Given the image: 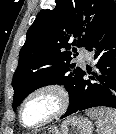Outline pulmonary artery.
Listing matches in <instances>:
<instances>
[{
	"label": "pulmonary artery",
	"mask_w": 116,
	"mask_h": 134,
	"mask_svg": "<svg viewBox=\"0 0 116 134\" xmlns=\"http://www.w3.org/2000/svg\"><path fill=\"white\" fill-rule=\"evenodd\" d=\"M91 57H92V54L88 49H86V48L80 49L79 55H78L79 62L84 61V60L89 61V60H91Z\"/></svg>",
	"instance_id": "e3ab8cb5"
}]
</instances>
